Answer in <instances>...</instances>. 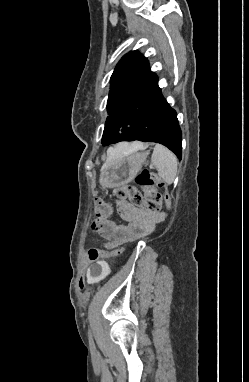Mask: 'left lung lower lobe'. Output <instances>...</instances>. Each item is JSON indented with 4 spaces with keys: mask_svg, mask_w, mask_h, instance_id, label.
I'll return each mask as SVG.
<instances>
[{
    "mask_svg": "<svg viewBox=\"0 0 249 382\" xmlns=\"http://www.w3.org/2000/svg\"><path fill=\"white\" fill-rule=\"evenodd\" d=\"M135 140L160 143L181 160V129L175 110L169 106L161 90L136 123L119 134L111 144Z\"/></svg>",
    "mask_w": 249,
    "mask_h": 382,
    "instance_id": "obj_1",
    "label": "left lung lower lobe"
}]
</instances>
